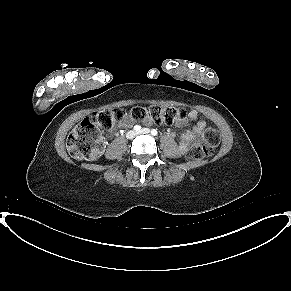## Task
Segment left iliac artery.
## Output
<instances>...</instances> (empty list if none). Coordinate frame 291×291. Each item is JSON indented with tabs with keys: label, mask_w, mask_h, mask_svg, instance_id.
<instances>
[{
	"label": "left iliac artery",
	"mask_w": 291,
	"mask_h": 291,
	"mask_svg": "<svg viewBox=\"0 0 291 291\" xmlns=\"http://www.w3.org/2000/svg\"><path fill=\"white\" fill-rule=\"evenodd\" d=\"M151 134H152L153 136H156V135L158 134V132H157L156 129H152V130H151Z\"/></svg>",
	"instance_id": "obj_1"
}]
</instances>
